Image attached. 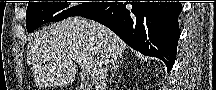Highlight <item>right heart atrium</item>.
<instances>
[{"label":"right heart atrium","instance_id":"1","mask_svg":"<svg viewBox=\"0 0 216 90\" xmlns=\"http://www.w3.org/2000/svg\"><path fill=\"white\" fill-rule=\"evenodd\" d=\"M72 10H84L85 6H71Z\"/></svg>","mask_w":216,"mask_h":90}]
</instances>
